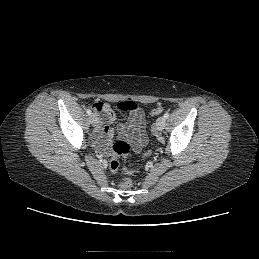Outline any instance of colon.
Returning <instances> with one entry per match:
<instances>
[{
  "label": "colon",
  "instance_id": "1",
  "mask_svg": "<svg viewBox=\"0 0 259 259\" xmlns=\"http://www.w3.org/2000/svg\"><path fill=\"white\" fill-rule=\"evenodd\" d=\"M93 107L95 108H100L99 104H94ZM118 108L122 111H132L135 110L136 108H138V106L131 101H124V102H120L118 104ZM163 112V108L162 107H156L153 108L150 111V114L153 116H157L160 115ZM130 153V146L128 145V143H126L123 140H117L114 144H113V156L112 159L110 161V169L114 172H116L119 168V161H118V157H123L126 158ZM150 151H147L143 154V158H146L150 155ZM120 187L127 189L130 188L132 186V179L129 175H125L121 182H120Z\"/></svg>",
  "mask_w": 259,
  "mask_h": 259
}]
</instances>
